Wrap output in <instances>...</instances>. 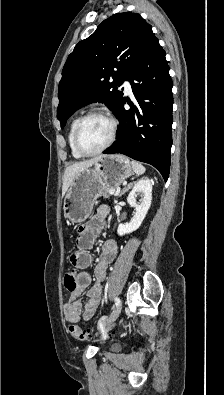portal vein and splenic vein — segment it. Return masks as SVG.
Returning a JSON list of instances; mask_svg holds the SVG:
<instances>
[{"mask_svg":"<svg viewBox=\"0 0 224 395\" xmlns=\"http://www.w3.org/2000/svg\"><path fill=\"white\" fill-rule=\"evenodd\" d=\"M109 194L114 195L115 194V190H109Z\"/></svg>","mask_w":224,"mask_h":395,"instance_id":"18ae733b","label":"portal vein and splenic vein"}]
</instances>
